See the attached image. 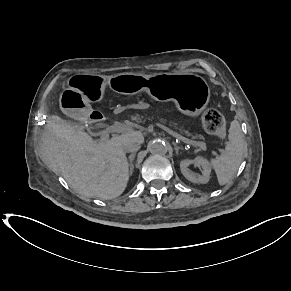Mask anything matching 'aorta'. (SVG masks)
<instances>
[{
  "label": "aorta",
  "mask_w": 291,
  "mask_h": 291,
  "mask_svg": "<svg viewBox=\"0 0 291 291\" xmlns=\"http://www.w3.org/2000/svg\"><path fill=\"white\" fill-rule=\"evenodd\" d=\"M148 148L153 155H165L168 151V145L160 140L152 141Z\"/></svg>",
  "instance_id": "762f6f07"
}]
</instances>
